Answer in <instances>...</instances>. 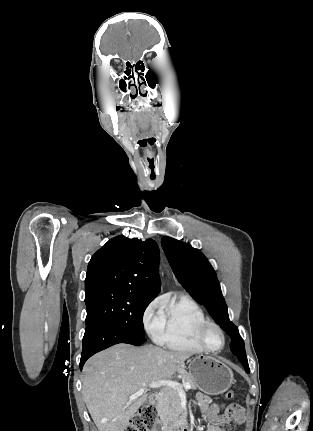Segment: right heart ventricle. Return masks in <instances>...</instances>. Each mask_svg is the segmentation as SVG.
Segmentation results:
<instances>
[{"instance_id":"1","label":"right heart ventricle","mask_w":313,"mask_h":431,"mask_svg":"<svg viewBox=\"0 0 313 431\" xmlns=\"http://www.w3.org/2000/svg\"><path fill=\"white\" fill-rule=\"evenodd\" d=\"M164 323L156 341L162 346L181 352L205 351L197 342L199 326L207 320L201 306L191 297L180 295L164 304Z\"/></svg>"}]
</instances>
